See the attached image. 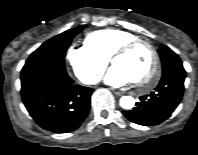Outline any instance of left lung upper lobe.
<instances>
[{
  "label": "left lung upper lobe",
  "instance_id": "obj_1",
  "mask_svg": "<svg viewBox=\"0 0 198 155\" xmlns=\"http://www.w3.org/2000/svg\"><path fill=\"white\" fill-rule=\"evenodd\" d=\"M158 53L162 61V76L176 70H184L182 61L178 55L166 45H162ZM141 114H143L142 117H150L149 112H141Z\"/></svg>",
  "mask_w": 198,
  "mask_h": 155
}]
</instances>
